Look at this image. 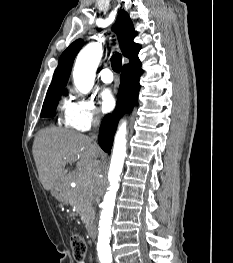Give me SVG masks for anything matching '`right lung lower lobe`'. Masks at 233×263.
Wrapping results in <instances>:
<instances>
[{
	"label": "right lung lower lobe",
	"instance_id": "98d812e1",
	"mask_svg": "<svg viewBox=\"0 0 233 263\" xmlns=\"http://www.w3.org/2000/svg\"><path fill=\"white\" fill-rule=\"evenodd\" d=\"M142 73L140 60L124 65L122 68L116 109L112 115L108 114L103 118L99 130L98 142L106 152H110L112 147L118 120L134 107L140 88L139 77Z\"/></svg>",
	"mask_w": 233,
	"mask_h": 263
}]
</instances>
